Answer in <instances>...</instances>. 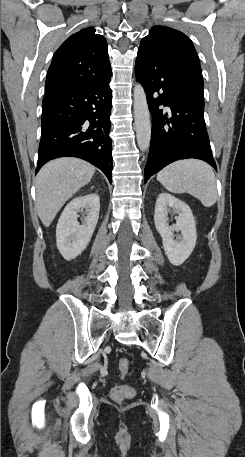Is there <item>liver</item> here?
<instances>
[{
    "mask_svg": "<svg viewBox=\"0 0 245 457\" xmlns=\"http://www.w3.org/2000/svg\"><path fill=\"white\" fill-rule=\"evenodd\" d=\"M94 172L92 164L71 156L50 160L42 166L37 174L36 206L44 226H50L64 202L90 182Z\"/></svg>",
    "mask_w": 245,
    "mask_h": 457,
    "instance_id": "1",
    "label": "liver"
}]
</instances>
